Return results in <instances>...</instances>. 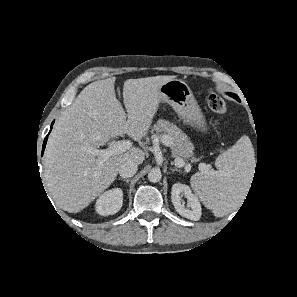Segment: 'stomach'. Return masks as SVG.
Returning a JSON list of instances; mask_svg holds the SVG:
<instances>
[{"instance_id": "1", "label": "stomach", "mask_w": 297, "mask_h": 297, "mask_svg": "<svg viewBox=\"0 0 297 297\" xmlns=\"http://www.w3.org/2000/svg\"><path fill=\"white\" fill-rule=\"evenodd\" d=\"M158 93L160 102L168 103L185 124L207 133L204 114L186 82L180 79L169 80L159 87Z\"/></svg>"}]
</instances>
